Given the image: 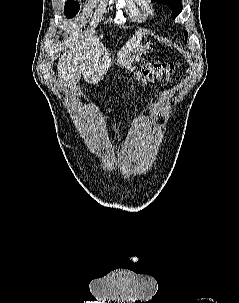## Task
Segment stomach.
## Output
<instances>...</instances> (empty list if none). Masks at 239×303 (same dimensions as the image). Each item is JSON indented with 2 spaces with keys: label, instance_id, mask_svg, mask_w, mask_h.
Instances as JSON below:
<instances>
[{
  "label": "stomach",
  "instance_id": "stomach-1",
  "mask_svg": "<svg viewBox=\"0 0 239 303\" xmlns=\"http://www.w3.org/2000/svg\"><path fill=\"white\" fill-rule=\"evenodd\" d=\"M146 47H140L137 50H134L130 53L128 59H127V66H132L134 65L136 62H138L142 56V54L145 52Z\"/></svg>",
  "mask_w": 239,
  "mask_h": 303
}]
</instances>
